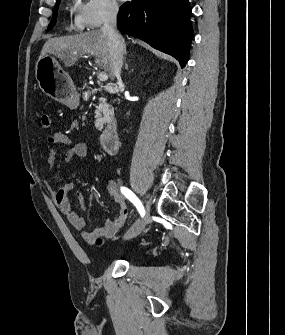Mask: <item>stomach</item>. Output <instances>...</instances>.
I'll list each match as a JSON object with an SVG mask.
<instances>
[{
	"instance_id": "0dacf381",
	"label": "stomach",
	"mask_w": 285,
	"mask_h": 335,
	"mask_svg": "<svg viewBox=\"0 0 285 335\" xmlns=\"http://www.w3.org/2000/svg\"><path fill=\"white\" fill-rule=\"evenodd\" d=\"M35 78L38 86L46 96L61 104L76 108L79 104V94L69 78L53 56H42L35 66Z\"/></svg>"
}]
</instances>
